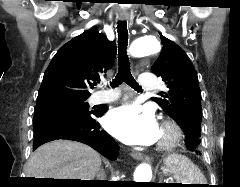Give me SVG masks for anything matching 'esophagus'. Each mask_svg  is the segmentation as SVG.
I'll return each mask as SVG.
<instances>
[{
    "mask_svg": "<svg viewBox=\"0 0 240 187\" xmlns=\"http://www.w3.org/2000/svg\"><path fill=\"white\" fill-rule=\"evenodd\" d=\"M120 20L121 21H126L128 20V16L125 15H121L120 16ZM131 156L136 159V160H140V161H150V157L148 155H145L141 150H133L131 152Z\"/></svg>",
    "mask_w": 240,
    "mask_h": 187,
    "instance_id": "1",
    "label": "esophagus"
}]
</instances>
